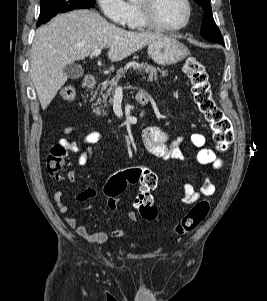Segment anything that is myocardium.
<instances>
[{"label":"myocardium","instance_id":"1","mask_svg":"<svg viewBox=\"0 0 267 301\" xmlns=\"http://www.w3.org/2000/svg\"><path fill=\"white\" fill-rule=\"evenodd\" d=\"M186 6V17L184 21L178 25H165L161 23L154 15V7L157 0H139L136 2V8L143 23L149 28L160 31H178L185 28L192 17V6L190 0H183Z\"/></svg>","mask_w":267,"mask_h":301}]
</instances>
